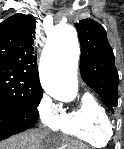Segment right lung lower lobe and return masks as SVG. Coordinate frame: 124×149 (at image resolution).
<instances>
[{
    "mask_svg": "<svg viewBox=\"0 0 124 149\" xmlns=\"http://www.w3.org/2000/svg\"><path fill=\"white\" fill-rule=\"evenodd\" d=\"M39 114L0 106V141L31 128Z\"/></svg>",
    "mask_w": 124,
    "mask_h": 149,
    "instance_id": "1",
    "label": "right lung lower lobe"
}]
</instances>
